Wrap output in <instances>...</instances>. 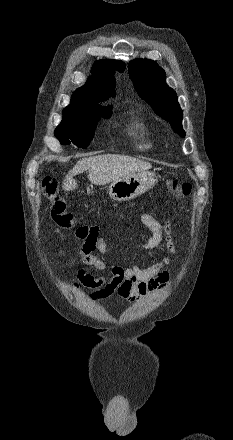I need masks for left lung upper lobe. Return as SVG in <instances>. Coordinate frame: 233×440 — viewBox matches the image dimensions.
Masks as SVG:
<instances>
[{"label": "left lung upper lobe", "mask_w": 233, "mask_h": 440, "mask_svg": "<svg viewBox=\"0 0 233 440\" xmlns=\"http://www.w3.org/2000/svg\"><path fill=\"white\" fill-rule=\"evenodd\" d=\"M128 69L140 97L150 104L157 115L170 122L174 132L185 137L183 112L175 91L166 84L164 70L148 59H135L129 63Z\"/></svg>", "instance_id": "left-lung-upper-lobe-1"}]
</instances>
